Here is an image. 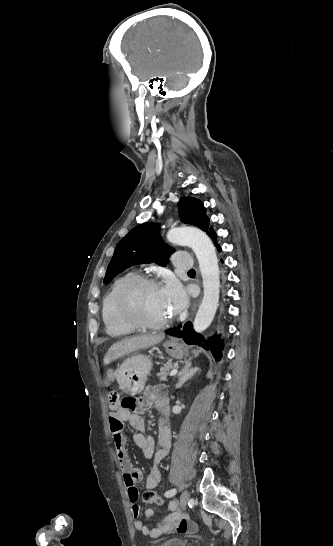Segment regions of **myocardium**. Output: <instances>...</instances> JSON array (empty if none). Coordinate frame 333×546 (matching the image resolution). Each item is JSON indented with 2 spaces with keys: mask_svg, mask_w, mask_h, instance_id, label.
Returning <instances> with one entry per match:
<instances>
[{
  "mask_svg": "<svg viewBox=\"0 0 333 546\" xmlns=\"http://www.w3.org/2000/svg\"><path fill=\"white\" fill-rule=\"evenodd\" d=\"M149 287H159V283L155 279L150 277H137L129 282L119 294V312L123 319L136 329H164L171 324L172 316L161 322H150L144 319L138 311V296L145 288Z\"/></svg>",
  "mask_w": 333,
  "mask_h": 546,
  "instance_id": "myocardium-1",
  "label": "myocardium"
}]
</instances>
